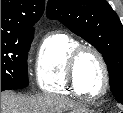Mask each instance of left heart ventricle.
Here are the masks:
<instances>
[{
  "label": "left heart ventricle",
  "instance_id": "left-heart-ventricle-1",
  "mask_svg": "<svg viewBox=\"0 0 123 113\" xmlns=\"http://www.w3.org/2000/svg\"><path fill=\"white\" fill-rule=\"evenodd\" d=\"M77 77L83 92L97 94L102 90L104 85L102 68L92 53H85L79 60Z\"/></svg>",
  "mask_w": 123,
  "mask_h": 113
}]
</instances>
